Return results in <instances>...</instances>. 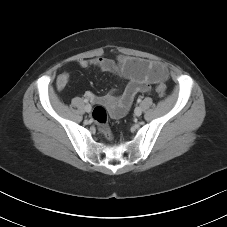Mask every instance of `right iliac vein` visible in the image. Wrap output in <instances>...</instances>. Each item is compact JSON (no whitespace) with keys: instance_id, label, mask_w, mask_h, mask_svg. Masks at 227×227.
<instances>
[{"instance_id":"63e3f726","label":"right iliac vein","mask_w":227,"mask_h":227,"mask_svg":"<svg viewBox=\"0 0 227 227\" xmlns=\"http://www.w3.org/2000/svg\"><path fill=\"white\" fill-rule=\"evenodd\" d=\"M91 106L89 105V104H87L86 106H85V111L86 112H88V113H90L91 112Z\"/></svg>"}]
</instances>
